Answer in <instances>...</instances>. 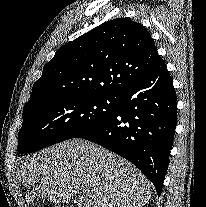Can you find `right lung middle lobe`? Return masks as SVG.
Instances as JSON below:
<instances>
[{"instance_id":"1","label":"right lung middle lobe","mask_w":206,"mask_h":207,"mask_svg":"<svg viewBox=\"0 0 206 207\" xmlns=\"http://www.w3.org/2000/svg\"><path fill=\"white\" fill-rule=\"evenodd\" d=\"M117 95L79 96L40 103L23 114L18 152H35L76 138L117 110Z\"/></svg>"}]
</instances>
